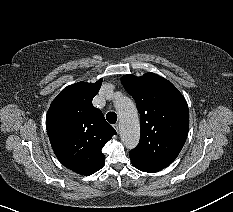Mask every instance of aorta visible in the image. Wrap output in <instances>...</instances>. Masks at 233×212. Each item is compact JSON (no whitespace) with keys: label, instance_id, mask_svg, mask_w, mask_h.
Segmentation results:
<instances>
[{"label":"aorta","instance_id":"obj_1","mask_svg":"<svg viewBox=\"0 0 233 212\" xmlns=\"http://www.w3.org/2000/svg\"><path fill=\"white\" fill-rule=\"evenodd\" d=\"M114 105L119 117L121 141L127 149H133L140 137L137 108L130 98L123 95L115 99Z\"/></svg>","mask_w":233,"mask_h":212}]
</instances>
